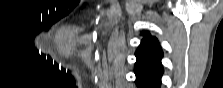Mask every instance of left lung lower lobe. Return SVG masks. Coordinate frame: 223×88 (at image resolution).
Here are the masks:
<instances>
[{
	"label": "left lung lower lobe",
	"instance_id": "left-lung-lower-lobe-1",
	"mask_svg": "<svg viewBox=\"0 0 223 88\" xmlns=\"http://www.w3.org/2000/svg\"><path fill=\"white\" fill-rule=\"evenodd\" d=\"M162 73V66L144 59H137L135 74L138 88H159Z\"/></svg>",
	"mask_w": 223,
	"mask_h": 88
}]
</instances>
